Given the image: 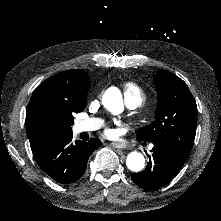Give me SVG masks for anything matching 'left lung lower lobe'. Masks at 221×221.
Returning <instances> with one entry per match:
<instances>
[{"label":"left lung lower lobe","instance_id":"obj_1","mask_svg":"<svg viewBox=\"0 0 221 221\" xmlns=\"http://www.w3.org/2000/svg\"><path fill=\"white\" fill-rule=\"evenodd\" d=\"M148 155L149 162L144 171L132 174L133 181L142 189L152 191L170 182L184 165L188 155L171 143L154 140Z\"/></svg>","mask_w":221,"mask_h":221}]
</instances>
